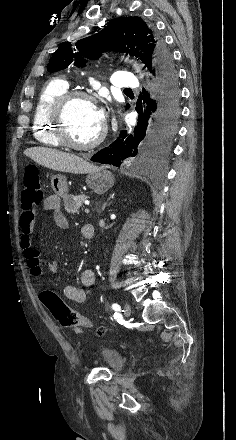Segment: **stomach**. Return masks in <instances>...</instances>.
<instances>
[{
	"label": "stomach",
	"mask_w": 236,
	"mask_h": 440,
	"mask_svg": "<svg viewBox=\"0 0 236 440\" xmlns=\"http://www.w3.org/2000/svg\"><path fill=\"white\" fill-rule=\"evenodd\" d=\"M85 182L95 193L104 194L113 186L114 178L106 169L97 167L87 174ZM51 186L54 193L59 197L67 196L68 185L64 175H53L51 178Z\"/></svg>",
	"instance_id": "stomach-1"
}]
</instances>
